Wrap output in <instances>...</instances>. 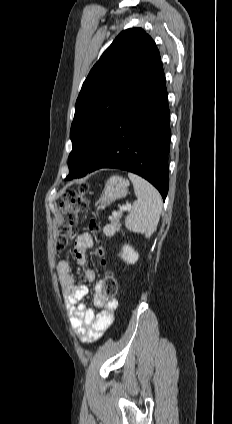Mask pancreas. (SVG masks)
<instances>
[{
	"label": "pancreas",
	"mask_w": 232,
	"mask_h": 424,
	"mask_svg": "<svg viewBox=\"0 0 232 424\" xmlns=\"http://www.w3.org/2000/svg\"><path fill=\"white\" fill-rule=\"evenodd\" d=\"M122 217L121 213H117L111 218V226L114 228V231H119L121 227L120 219Z\"/></svg>",
	"instance_id": "1"
}]
</instances>
